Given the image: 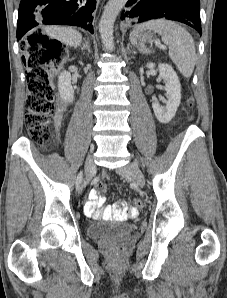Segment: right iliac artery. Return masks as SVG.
Masks as SVG:
<instances>
[{
	"label": "right iliac artery",
	"mask_w": 227,
	"mask_h": 298,
	"mask_svg": "<svg viewBox=\"0 0 227 298\" xmlns=\"http://www.w3.org/2000/svg\"><path fill=\"white\" fill-rule=\"evenodd\" d=\"M82 173L80 172L77 176V179H76V187H78L82 181Z\"/></svg>",
	"instance_id": "right-iliac-artery-1"
}]
</instances>
